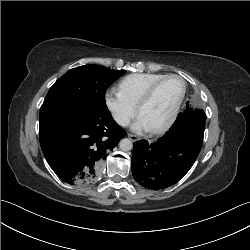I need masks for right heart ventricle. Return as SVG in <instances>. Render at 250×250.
I'll list each match as a JSON object with an SVG mask.
<instances>
[{
    "label": "right heart ventricle",
    "instance_id": "e07e8e85",
    "mask_svg": "<svg viewBox=\"0 0 250 250\" xmlns=\"http://www.w3.org/2000/svg\"><path fill=\"white\" fill-rule=\"evenodd\" d=\"M162 76L164 74L161 73L130 74L120 81L119 91L131 104L137 106L147 88Z\"/></svg>",
    "mask_w": 250,
    "mask_h": 250
}]
</instances>
